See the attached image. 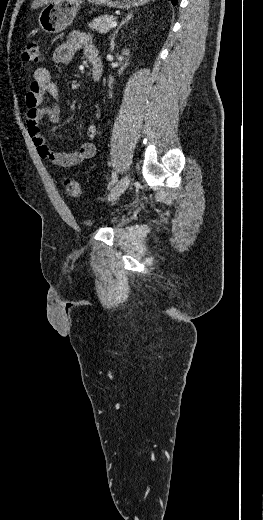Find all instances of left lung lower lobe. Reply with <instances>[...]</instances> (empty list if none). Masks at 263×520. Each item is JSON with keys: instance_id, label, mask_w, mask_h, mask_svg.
Here are the masks:
<instances>
[{"instance_id": "0a47b994", "label": "left lung lower lobe", "mask_w": 263, "mask_h": 520, "mask_svg": "<svg viewBox=\"0 0 263 520\" xmlns=\"http://www.w3.org/2000/svg\"><path fill=\"white\" fill-rule=\"evenodd\" d=\"M171 1H172V4L175 5L178 0H171Z\"/></svg>"}]
</instances>
